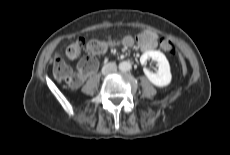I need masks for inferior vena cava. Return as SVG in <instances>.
Masks as SVG:
<instances>
[{
  "label": "inferior vena cava",
  "instance_id": "obj_1",
  "mask_svg": "<svg viewBox=\"0 0 230 155\" xmlns=\"http://www.w3.org/2000/svg\"><path fill=\"white\" fill-rule=\"evenodd\" d=\"M117 70V66L115 62H110L108 64H106L103 68H102V74L103 75H108L111 74L113 72H115Z\"/></svg>",
  "mask_w": 230,
  "mask_h": 155
}]
</instances>
